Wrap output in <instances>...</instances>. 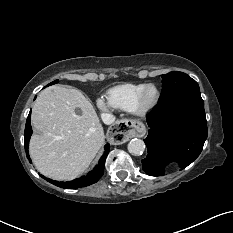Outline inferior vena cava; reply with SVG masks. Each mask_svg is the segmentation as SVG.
I'll return each mask as SVG.
<instances>
[{
  "label": "inferior vena cava",
  "mask_w": 233,
  "mask_h": 233,
  "mask_svg": "<svg viewBox=\"0 0 233 233\" xmlns=\"http://www.w3.org/2000/svg\"><path fill=\"white\" fill-rule=\"evenodd\" d=\"M101 118H102V121L104 122V124H106V125H110L115 121L114 115L109 114V113L101 114Z\"/></svg>",
  "instance_id": "obj_1"
}]
</instances>
